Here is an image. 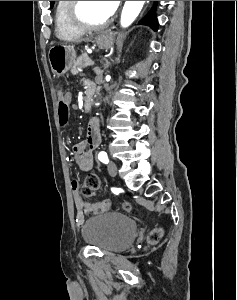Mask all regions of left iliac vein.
<instances>
[{"mask_svg":"<svg viewBox=\"0 0 237 300\" xmlns=\"http://www.w3.org/2000/svg\"><path fill=\"white\" fill-rule=\"evenodd\" d=\"M108 172L112 177L117 175V165L112 161L108 163Z\"/></svg>","mask_w":237,"mask_h":300,"instance_id":"1","label":"left iliac vein"}]
</instances>
